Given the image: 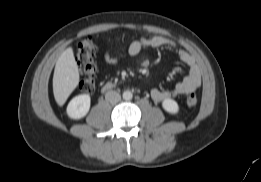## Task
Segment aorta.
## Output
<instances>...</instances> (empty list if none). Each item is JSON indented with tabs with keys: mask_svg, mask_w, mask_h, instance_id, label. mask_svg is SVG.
Listing matches in <instances>:
<instances>
[{
	"mask_svg": "<svg viewBox=\"0 0 261 182\" xmlns=\"http://www.w3.org/2000/svg\"><path fill=\"white\" fill-rule=\"evenodd\" d=\"M122 96H123V99H124V100H131L132 97H133V94H132L131 91L126 90V91L123 92V95H122Z\"/></svg>",
	"mask_w": 261,
	"mask_h": 182,
	"instance_id": "aorta-1",
	"label": "aorta"
}]
</instances>
